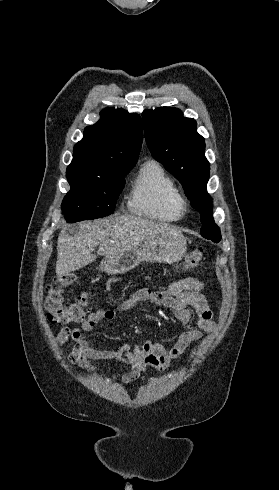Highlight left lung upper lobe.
Returning <instances> with one entry per match:
<instances>
[{
    "mask_svg": "<svg viewBox=\"0 0 279 490\" xmlns=\"http://www.w3.org/2000/svg\"><path fill=\"white\" fill-rule=\"evenodd\" d=\"M147 145L182 184L191 205L200 212L201 235L215 243L221 234L215 224L212 198L207 193L210 164L205 157L204 138L196 131V121L184 118L177 108L161 107L142 113Z\"/></svg>",
    "mask_w": 279,
    "mask_h": 490,
    "instance_id": "5c2ea615",
    "label": "left lung upper lobe"
}]
</instances>
